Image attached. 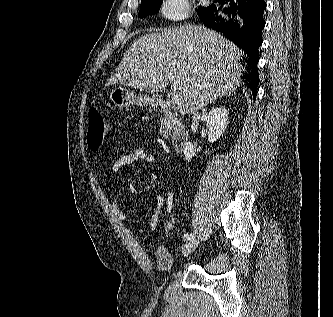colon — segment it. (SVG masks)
<instances>
[{
    "instance_id": "colon-1",
    "label": "colon",
    "mask_w": 333,
    "mask_h": 317,
    "mask_svg": "<svg viewBox=\"0 0 333 317\" xmlns=\"http://www.w3.org/2000/svg\"><path fill=\"white\" fill-rule=\"evenodd\" d=\"M88 122H89V127L87 133V143L91 150L96 151L101 147L105 139L107 131V123L101 111L96 107L90 108ZM174 224H175V215L173 212L168 216L166 221V227L168 233H170L173 230Z\"/></svg>"
}]
</instances>
